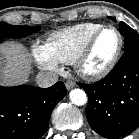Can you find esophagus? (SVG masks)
<instances>
[{
	"label": "esophagus",
	"mask_w": 139,
	"mask_h": 139,
	"mask_svg": "<svg viewBox=\"0 0 139 139\" xmlns=\"http://www.w3.org/2000/svg\"><path fill=\"white\" fill-rule=\"evenodd\" d=\"M65 85H66V88H67L68 90H70V89H72L73 87L76 86V83H75L74 81H72V80H69V81H67V82L65 83Z\"/></svg>",
	"instance_id": "esophagus-1"
}]
</instances>
